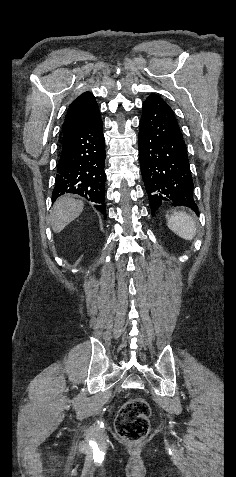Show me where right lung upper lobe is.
I'll list each match as a JSON object with an SVG mask.
<instances>
[{"label":"right lung upper lobe","instance_id":"1","mask_svg":"<svg viewBox=\"0 0 236 477\" xmlns=\"http://www.w3.org/2000/svg\"><path fill=\"white\" fill-rule=\"evenodd\" d=\"M99 114L98 105L90 92L78 96L69 106L63 123L62 141L86 127Z\"/></svg>","mask_w":236,"mask_h":477}]
</instances>
